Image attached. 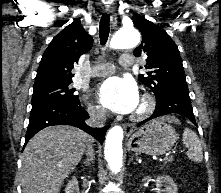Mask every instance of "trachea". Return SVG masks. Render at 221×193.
<instances>
[{"label":"trachea","instance_id":"trachea-1","mask_svg":"<svg viewBox=\"0 0 221 193\" xmlns=\"http://www.w3.org/2000/svg\"><path fill=\"white\" fill-rule=\"evenodd\" d=\"M109 26H110V15L103 14L100 20V25H99L100 43L102 46H105L108 40L109 31H110Z\"/></svg>","mask_w":221,"mask_h":193}]
</instances>
